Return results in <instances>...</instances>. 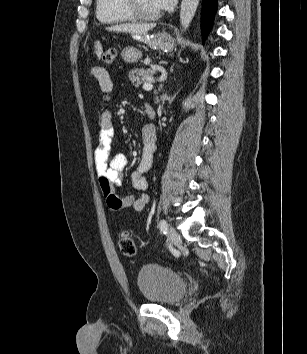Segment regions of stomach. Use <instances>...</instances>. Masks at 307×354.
I'll list each match as a JSON object with an SVG mask.
<instances>
[{
    "mask_svg": "<svg viewBox=\"0 0 307 354\" xmlns=\"http://www.w3.org/2000/svg\"><path fill=\"white\" fill-rule=\"evenodd\" d=\"M137 39L146 43L153 49L169 52L174 48V41L172 37L166 32H160L155 35L137 36ZM122 58L127 63H133L138 61L142 53L140 50L134 47H126L122 50Z\"/></svg>",
    "mask_w": 307,
    "mask_h": 354,
    "instance_id": "obj_1",
    "label": "stomach"
}]
</instances>
